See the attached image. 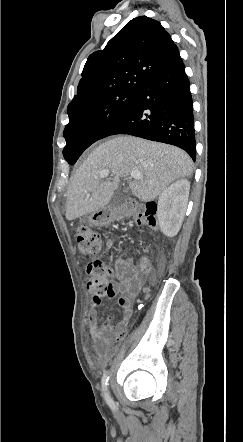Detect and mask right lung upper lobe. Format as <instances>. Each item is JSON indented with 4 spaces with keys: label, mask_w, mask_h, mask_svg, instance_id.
I'll return each mask as SVG.
<instances>
[{
    "label": "right lung upper lobe",
    "mask_w": 243,
    "mask_h": 442,
    "mask_svg": "<svg viewBox=\"0 0 243 442\" xmlns=\"http://www.w3.org/2000/svg\"><path fill=\"white\" fill-rule=\"evenodd\" d=\"M179 53L160 22L139 16L129 21L101 51L92 53L78 92L67 107L77 109L121 91H139L149 77Z\"/></svg>",
    "instance_id": "right-lung-upper-lobe-1"
}]
</instances>
